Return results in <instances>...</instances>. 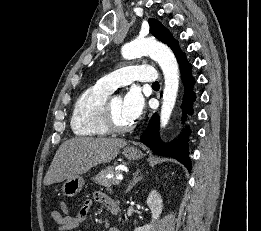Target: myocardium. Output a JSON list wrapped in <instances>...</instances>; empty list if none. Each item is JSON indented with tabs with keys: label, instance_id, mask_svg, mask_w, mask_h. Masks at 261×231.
Masks as SVG:
<instances>
[{
	"label": "myocardium",
	"instance_id": "1",
	"mask_svg": "<svg viewBox=\"0 0 261 231\" xmlns=\"http://www.w3.org/2000/svg\"><path fill=\"white\" fill-rule=\"evenodd\" d=\"M114 97H109L104 106L102 111V123L103 125L113 133H125L129 132L134 128V123H130L128 125H120L115 120L113 110H112V99Z\"/></svg>",
	"mask_w": 261,
	"mask_h": 231
}]
</instances>
